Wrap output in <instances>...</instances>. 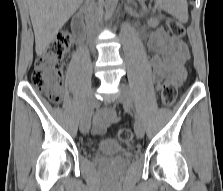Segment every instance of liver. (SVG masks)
I'll use <instances>...</instances> for the list:
<instances>
[{"label":"liver","mask_w":223,"mask_h":191,"mask_svg":"<svg viewBox=\"0 0 223 191\" xmlns=\"http://www.w3.org/2000/svg\"><path fill=\"white\" fill-rule=\"evenodd\" d=\"M30 18L35 34V49L41 56L55 40L83 0H28Z\"/></svg>","instance_id":"6515ba94"}]
</instances>
